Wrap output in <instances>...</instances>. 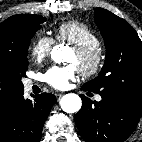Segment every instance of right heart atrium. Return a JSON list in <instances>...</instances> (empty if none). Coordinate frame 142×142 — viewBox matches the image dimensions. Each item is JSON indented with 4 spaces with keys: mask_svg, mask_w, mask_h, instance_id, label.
Here are the masks:
<instances>
[{
    "mask_svg": "<svg viewBox=\"0 0 142 142\" xmlns=\"http://www.w3.org/2000/svg\"><path fill=\"white\" fill-rule=\"evenodd\" d=\"M54 40L47 35H38L30 46V54L37 62H42L50 55Z\"/></svg>",
    "mask_w": 142,
    "mask_h": 142,
    "instance_id": "obj_1",
    "label": "right heart atrium"
}]
</instances>
